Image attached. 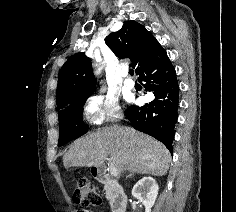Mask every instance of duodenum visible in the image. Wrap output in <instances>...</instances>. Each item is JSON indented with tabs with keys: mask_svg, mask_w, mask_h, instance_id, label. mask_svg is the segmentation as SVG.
Returning <instances> with one entry per match:
<instances>
[{
	"mask_svg": "<svg viewBox=\"0 0 236 212\" xmlns=\"http://www.w3.org/2000/svg\"><path fill=\"white\" fill-rule=\"evenodd\" d=\"M93 175L103 183L108 189L111 197L112 211L125 212L127 197L122 186L113 180L103 167H98L93 171Z\"/></svg>",
	"mask_w": 236,
	"mask_h": 212,
	"instance_id": "410a0bca",
	"label": "duodenum"
}]
</instances>
